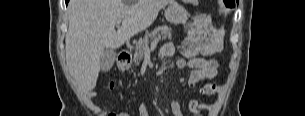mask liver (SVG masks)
<instances>
[{
    "label": "liver",
    "mask_w": 305,
    "mask_h": 116,
    "mask_svg": "<svg viewBox=\"0 0 305 116\" xmlns=\"http://www.w3.org/2000/svg\"><path fill=\"white\" fill-rule=\"evenodd\" d=\"M173 0H70L69 28L65 38L66 63L84 91L98 79L105 49H117L155 21ZM117 21L122 25L115 30Z\"/></svg>",
    "instance_id": "liver-1"
}]
</instances>
